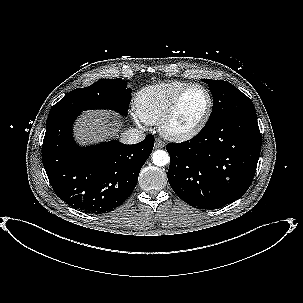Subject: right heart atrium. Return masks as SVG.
<instances>
[{
	"label": "right heart atrium",
	"mask_w": 303,
	"mask_h": 303,
	"mask_svg": "<svg viewBox=\"0 0 303 303\" xmlns=\"http://www.w3.org/2000/svg\"><path fill=\"white\" fill-rule=\"evenodd\" d=\"M133 119L134 121L138 124V125H143L145 122H143V120H141V118L138 116L137 112H133L132 113ZM146 124V123H145Z\"/></svg>",
	"instance_id": "right-heart-atrium-1"
}]
</instances>
